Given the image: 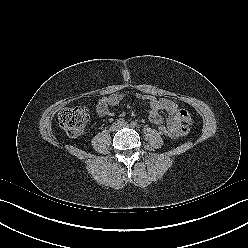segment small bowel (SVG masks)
I'll return each mask as SVG.
<instances>
[{
	"mask_svg": "<svg viewBox=\"0 0 248 248\" xmlns=\"http://www.w3.org/2000/svg\"><path fill=\"white\" fill-rule=\"evenodd\" d=\"M136 97L149 103V120L153 124H163L164 118L161 115V112L165 111L168 113L166 125L172 132V138H179L188 133L192 118L187 110L179 108L173 101L166 98L158 99L154 96L145 94H137ZM124 98L125 94L121 92L102 97L96 106L98 116L105 117L110 115L109 108L118 105Z\"/></svg>",
	"mask_w": 248,
	"mask_h": 248,
	"instance_id": "c3829d8e",
	"label": "small bowel"
}]
</instances>
